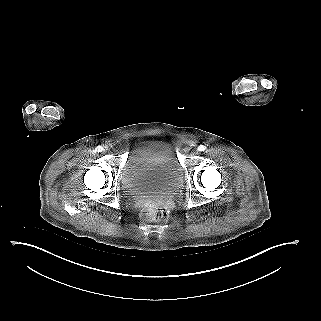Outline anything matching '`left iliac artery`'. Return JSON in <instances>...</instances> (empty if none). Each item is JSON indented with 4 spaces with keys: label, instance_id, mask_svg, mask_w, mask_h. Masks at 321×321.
Instances as JSON below:
<instances>
[{
    "label": "left iliac artery",
    "instance_id": "44dca946",
    "mask_svg": "<svg viewBox=\"0 0 321 321\" xmlns=\"http://www.w3.org/2000/svg\"><path fill=\"white\" fill-rule=\"evenodd\" d=\"M206 149V147L204 146V145H200L199 147H198V150L199 151H204Z\"/></svg>",
    "mask_w": 321,
    "mask_h": 321
}]
</instances>
